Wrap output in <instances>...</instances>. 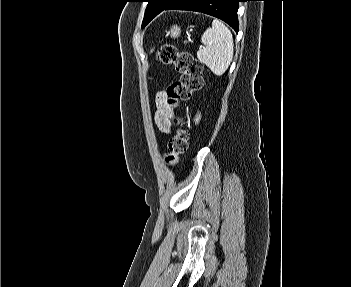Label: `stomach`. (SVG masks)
Instances as JSON below:
<instances>
[{"instance_id":"stomach-1","label":"stomach","mask_w":351,"mask_h":287,"mask_svg":"<svg viewBox=\"0 0 351 287\" xmlns=\"http://www.w3.org/2000/svg\"><path fill=\"white\" fill-rule=\"evenodd\" d=\"M180 33H181V29L177 25L172 26L168 32V34L173 38L179 37Z\"/></svg>"}]
</instances>
